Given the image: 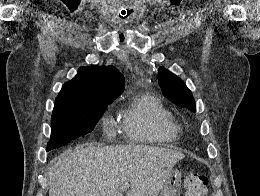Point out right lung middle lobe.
<instances>
[{
	"label": "right lung middle lobe",
	"mask_w": 260,
	"mask_h": 196,
	"mask_svg": "<svg viewBox=\"0 0 260 196\" xmlns=\"http://www.w3.org/2000/svg\"><path fill=\"white\" fill-rule=\"evenodd\" d=\"M107 105L108 103L54 106L51 118V139L47 144V151L90 133Z\"/></svg>",
	"instance_id": "1"
}]
</instances>
